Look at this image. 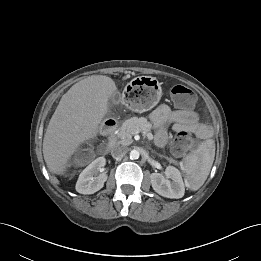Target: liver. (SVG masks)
I'll list each match as a JSON object with an SVG mask.
<instances>
[{"label": "liver", "instance_id": "6515ba94", "mask_svg": "<svg viewBox=\"0 0 261 261\" xmlns=\"http://www.w3.org/2000/svg\"><path fill=\"white\" fill-rule=\"evenodd\" d=\"M114 93L117 86L110 77L94 75L62 96L43 139V156L51 173L63 174L80 144L96 137Z\"/></svg>", "mask_w": 261, "mask_h": 261}]
</instances>
